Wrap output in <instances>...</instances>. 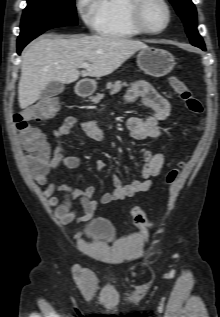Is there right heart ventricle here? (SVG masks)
Here are the masks:
<instances>
[{
    "label": "right heart ventricle",
    "instance_id": "e07e8e85",
    "mask_svg": "<svg viewBox=\"0 0 220 317\" xmlns=\"http://www.w3.org/2000/svg\"><path fill=\"white\" fill-rule=\"evenodd\" d=\"M133 0H97L96 30L114 38H131L141 35L130 17Z\"/></svg>",
    "mask_w": 220,
    "mask_h": 317
}]
</instances>
